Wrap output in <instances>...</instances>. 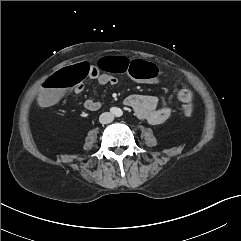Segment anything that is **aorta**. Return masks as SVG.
<instances>
[{
    "label": "aorta",
    "instance_id": "762f6f07",
    "mask_svg": "<svg viewBox=\"0 0 241 241\" xmlns=\"http://www.w3.org/2000/svg\"><path fill=\"white\" fill-rule=\"evenodd\" d=\"M115 115L118 116V117L121 116L122 115V110L118 108L116 110V112H115Z\"/></svg>",
    "mask_w": 241,
    "mask_h": 241
}]
</instances>
